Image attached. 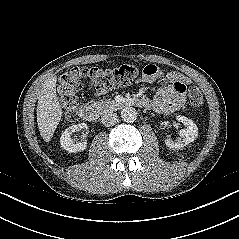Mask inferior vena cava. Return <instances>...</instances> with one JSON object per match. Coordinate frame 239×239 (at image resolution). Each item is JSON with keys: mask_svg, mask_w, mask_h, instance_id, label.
Returning a JSON list of instances; mask_svg holds the SVG:
<instances>
[{"mask_svg": "<svg viewBox=\"0 0 239 239\" xmlns=\"http://www.w3.org/2000/svg\"><path fill=\"white\" fill-rule=\"evenodd\" d=\"M101 121L107 127L113 126L115 123L118 122V116L116 113H113V112L105 113L101 117Z\"/></svg>", "mask_w": 239, "mask_h": 239, "instance_id": "obj_1", "label": "inferior vena cava"}]
</instances>
